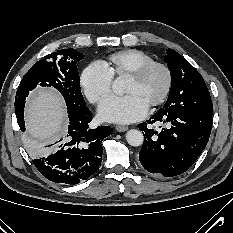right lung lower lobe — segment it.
<instances>
[{
  "label": "right lung lower lobe",
  "instance_id": "obj_1",
  "mask_svg": "<svg viewBox=\"0 0 233 233\" xmlns=\"http://www.w3.org/2000/svg\"><path fill=\"white\" fill-rule=\"evenodd\" d=\"M16 112V111H15ZM24 111L16 112L20 128H25ZM69 127L64 139L48 152L33 160L34 165L50 181L64 184H77L88 179L101 164L103 148L101 142L111 135L110 126L89 128L92 113L88 107L68 109ZM29 153H37L29 148Z\"/></svg>",
  "mask_w": 233,
  "mask_h": 233
}]
</instances>
